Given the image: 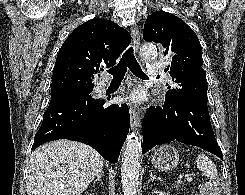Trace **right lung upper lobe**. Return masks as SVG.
Instances as JSON below:
<instances>
[{"label": "right lung upper lobe", "mask_w": 245, "mask_h": 195, "mask_svg": "<svg viewBox=\"0 0 245 195\" xmlns=\"http://www.w3.org/2000/svg\"><path fill=\"white\" fill-rule=\"evenodd\" d=\"M130 42V34L109 20L95 18L78 26L59 50L51 94L94 87L92 78L102 64L113 66Z\"/></svg>", "instance_id": "1"}]
</instances>
